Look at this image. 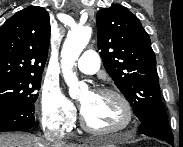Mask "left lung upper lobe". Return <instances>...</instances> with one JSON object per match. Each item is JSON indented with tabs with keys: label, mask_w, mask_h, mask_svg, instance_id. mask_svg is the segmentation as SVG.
<instances>
[{
	"label": "left lung upper lobe",
	"mask_w": 183,
	"mask_h": 147,
	"mask_svg": "<svg viewBox=\"0 0 183 147\" xmlns=\"http://www.w3.org/2000/svg\"><path fill=\"white\" fill-rule=\"evenodd\" d=\"M98 49L114 80L141 122L168 121L160 96L155 54L139 19L125 7L102 8L96 17Z\"/></svg>",
	"instance_id": "1"
}]
</instances>
